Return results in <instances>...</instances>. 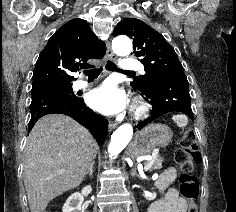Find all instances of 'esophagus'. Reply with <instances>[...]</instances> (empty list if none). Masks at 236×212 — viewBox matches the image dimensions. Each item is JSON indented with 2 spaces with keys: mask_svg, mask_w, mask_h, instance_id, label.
<instances>
[{
  "mask_svg": "<svg viewBox=\"0 0 236 212\" xmlns=\"http://www.w3.org/2000/svg\"><path fill=\"white\" fill-rule=\"evenodd\" d=\"M107 56L109 57V59L114 60L116 58L115 54L113 53L111 47H110V43L107 44ZM117 126L116 122H110L109 123V130H113L115 127Z\"/></svg>",
  "mask_w": 236,
  "mask_h": 212,
  "instance_id": "obj_1",
  "label": "esophagus"
}]
</instances>
